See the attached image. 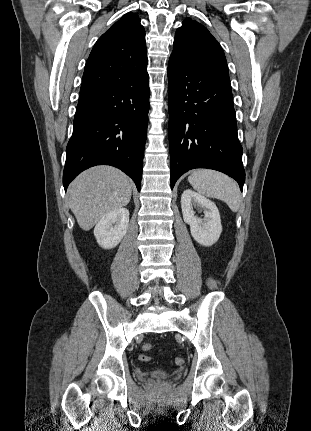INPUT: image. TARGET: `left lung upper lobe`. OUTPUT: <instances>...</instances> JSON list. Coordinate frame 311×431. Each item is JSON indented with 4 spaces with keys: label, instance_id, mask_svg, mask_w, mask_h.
<instances>
[{
    "label": "left lung upper lobe",
    "instance_id": "5c2ea615",
    "mask_svg": "<svg viewBox=\"0 0 311 431\" xmlns=\"http://www.w3.org/2000/svg\"><path fill=\"white\" fill-rule=\"evenodd\" d=\"M171 55L198 69L229 76L220 44L202 24L190 18L177 29Z\"/></svg>",
    "mask_w": 311,
    "mask_h": 431
}]
</instances>
